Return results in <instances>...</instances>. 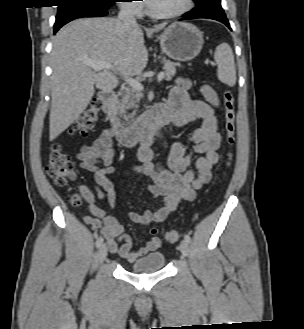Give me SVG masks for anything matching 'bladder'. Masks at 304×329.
Listing matches in <instances>:
<instances>
[{"mask_svg": "<svg viewBox=\"0 0 304 329\" xmlns=\"http://www.w3.org/2000/svg\"><path fill=\"white\" fill-rule=\"evenodd\" d=\"M166 264L163 252L155 251L147 253L133 261L128 271L135 274L153 273L161 271Z\"/></svg>", "mask_w": 304, "mask_h": 329, "instance_id": "1", "label": "bladder"}]
</instances>
